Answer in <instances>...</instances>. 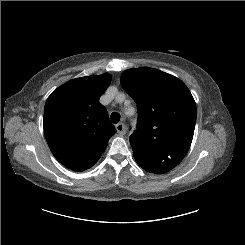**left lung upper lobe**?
Masks as SVG:
<instances>
[{
    "label": "left lung upper lobe",
    "instance_id": "5c2ea615",
    "mask_svg": "<svg viewBox=\"0 0 245 245\" xmlns=\"http://www.w3.org/2000/svg\"><path fill=\"white\" fill-rule=\"evenodd\" d=\"M121 85L138 109L130 143L137 164L148 172L172 170L187 154L194 134L196 104L177 77L153 68L128 69Z\"/></svg>",
    "mask_w": 245,
    "mask_h": 245
}]
</instances>
